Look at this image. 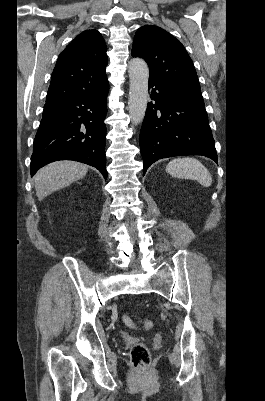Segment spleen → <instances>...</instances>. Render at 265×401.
<instances>
[{"mask_svg":"<svg viewBox=\"0 0 265 401\" xmlns=\"http://www.w3.org/2000/svg\"><path fill=\"white\" fill-rule=\"evenodd\" d=\"M168 174L175 178H191L198 180L203 186L212 184V176L197 158H174L166 166Z\"/></svg>","mask_w":265,"mask_h":401,"instance_id":"1","label":"spleen"}]
</instances>
